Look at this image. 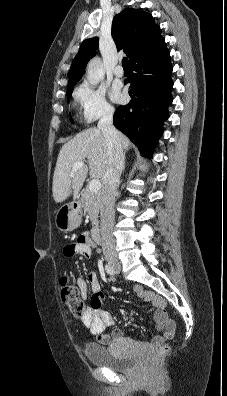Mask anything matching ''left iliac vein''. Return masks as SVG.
<instances>
[{
	"instance_id": "4c4485c4",
	"label": "left iliac vein",
	"mask_w": 227,
	"mask_h": 396,
	"mask_svg": "<svg viewBox=\"0 0 227 396\" xmlns=\"http://www.w3.org/2000/svg\"><path fill=\"white\" fill-rule=\"evenodd\" d=\"M114 270H115V273H119V271H120V266L117 265L116 267H114Z\"/></svg>"
}]
</instances>
